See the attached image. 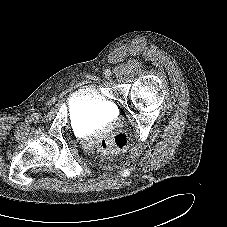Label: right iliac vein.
I'll use <instances>...</instances> for the list:
<instances>
[{
	"mask_svg": "<svg viewBox=\"0 0 227 227\" xmlns=\"http://www.w3.org/2000/svg\"><path fill=\"white\" fill-rule=\"evenodd\" d=\"M33 117L38 120V119H40L41 116H40V114L35 113Z\"/></svg>",
	"mask_w": 227,
	"mask_h": 227,
	"instance_id": "obj_1",
	"label": "right iliac vein"
}]
</instances>
